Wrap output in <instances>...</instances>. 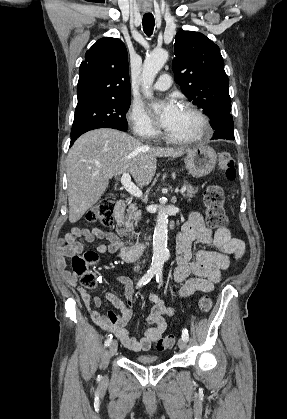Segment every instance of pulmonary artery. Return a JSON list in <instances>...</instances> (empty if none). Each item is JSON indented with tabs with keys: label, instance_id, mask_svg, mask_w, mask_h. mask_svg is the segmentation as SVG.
<instances>
[{
	"label": "pulmonary artery",
	"instance_id": "obj_1",
	"mask_svg": "<svg viewBox=\"0 0 287 419\" xmlns=\"http://www.w3.org/2000/svg\"><path fill=\"white\" fill-rule=\"evenodd\" d=\"M171 86V76L164 73L160 76L159 80L153 85V89L157 91L167 90Z\"/></svg>",
	"mask_w": 287,
	"mask_h": 419
}]
</instances>
